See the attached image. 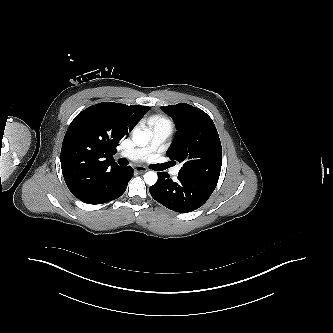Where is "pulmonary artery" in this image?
Masks as SVG:
<instances>
[{
  "instance_id": "obj_1",
  "label": "pulmonary artery",
  "mask_w": 333,
  "mask_h": 333,
  "mask_svg": "<svg viewBox=\"0 0 333 333\" xmlns=\"http://www.w3.org/2000/svg\"><path fill=\"white\" fill-rule=\"evenodd\" d=\"M172 132V125L170 122L158 123L152 127V136L148 146L144 148L131 149L121 152V156L133 160L139 161L147 158L150 154L161 149L165 140ZM180 171L179 167L172 170L173 175H178Z\"/></svg>"
}]
</instances>
